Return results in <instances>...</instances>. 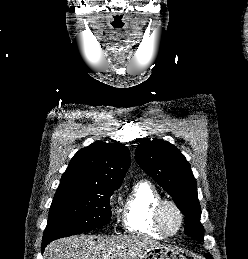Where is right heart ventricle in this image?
<instances>
[{
  "instance_id": "e07e8e85",
  "label": "right heart ventricle",
  "mask_w": 248,
  "mask_h": 259,
  "mask_svg": "<svg viewBox=\"0 0 248 259\" xmlns=\"http://www.w3.org/2000/svg\"><path fill=\"white\" fill-rule=\"evenodd\" d=\"M162 199L157 188L146 180L138 181L125 198L122 209V224L131 233L163 238L154 223L153 212Z\"/></svg>"
}]
</instances>
